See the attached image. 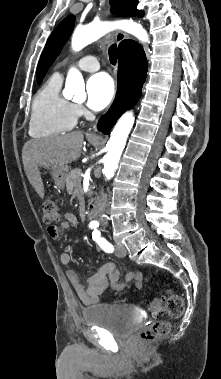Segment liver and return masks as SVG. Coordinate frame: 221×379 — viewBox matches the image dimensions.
I'll use <instances>...</instances> for the list:
<instances>
[{
  "label": "liver",
  "mask_w": 221,
  "mask_h": 379,
  "mask_svg": "<svg viewBox=\"0 0 221 379\" xmlns=\"http://www.w3.org/2000/svg\"><path fill=\"white\" fill-rule=\"evenodd\" d=\"M83 133L80 131L69 134L32 139L24 144L22 159L28 180L38 195L44 197V186L38 166L41 162L56 165H67L81 155Z\"/></svg>",
  "instance_id": "6515ba94"
}]
</instances>
